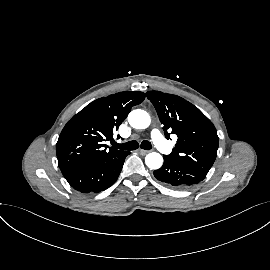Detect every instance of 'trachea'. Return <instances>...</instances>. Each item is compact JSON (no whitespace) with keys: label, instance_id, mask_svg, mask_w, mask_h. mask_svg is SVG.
Masks as SVG:
<instances>
[{"label":"trachea","instance_id":"obj_1","mask_svg":"<svg viewBox=\"0 0 270 270\" xmlns=\"http://www.w3.org/2000/svg\"><path fill=\"white\" fill-rule=\"evenodd\" d=\"M113 147L117 148V149H122V150H136L137 148H139V144L137 141L133 140L124 144H118V143H113ZM141 148L145 149V150H150L152 148V145L149 141L144 140L141 143Z\"/></svg>","mask_w":270,"mask_h":270}]
</instances>
